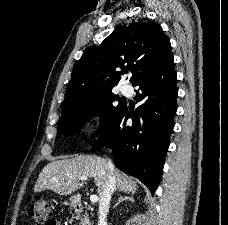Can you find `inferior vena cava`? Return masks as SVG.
I'll return each instance as SVG.
<instances>
[{
    "mask_svg": "<svg viewBox=\"0 0 228 225\" xmlns=\"http://www.w3.org/2000/svg\"><path fill=\"white\" fill-rule=\"evenodd\" d=\"M109 171H113L114 167L111 161H108ZM116 189V181L113 173L109 175L106 185L103 187V197L101 199L98 215L99 225H107V215L109 213V205L111 201V195H113Z\"/></svg>",
    "mask_w": 228,
    "mask_h": 225,
    "instance_id": "inferior-vena-cava-1",
    "label": "inferior vena cava"
}]
</instances>
